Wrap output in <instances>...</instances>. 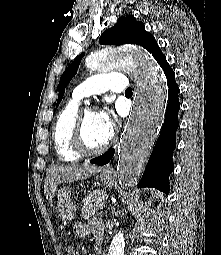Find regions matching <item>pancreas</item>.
Here are the masks:
<instances>
[{"label":"pancreas","mask_w":221,"mask_h":255,"mask_svg":"<svg viewBox=\"0 0 221 255\" xmlns=\"http://www.w3.org/2000/svg\"><path fill=\"white\" fill-rule=\"evenodd\" d=\"M108 197L103 190H93L87 194L83 199L82 216L85 219L93 216L99 209V205L104 203Z\"/></svg>","instance_id":"obj_1"}]
</instances>
